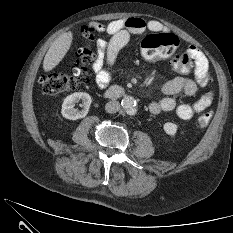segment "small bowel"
<instances>
[{"instance_id":"c3829d8e","label":"small bowel","mask_w":233,"mask_h":233,"mask_svg":"<svg viewBox=\"0 0 233 233\" xmlns=\"http://www.w3.org/2000/svg\"><path fill=\"white\" fill-rule=\"evenodd\" d=\"M89 28L105 32L110 36L108 41L104 39L97 41V54L92 65L97 86L105 89L110 82L118 53L128 44L130 38L147 30L160 31L163 26L156 20L145 21L141 18L127 17L111 21L106 25L93 23ZM186 52L193 61V77L180 76L163 84L159 96L149 104L151 113L174 111L180 119L188 120L211 106L214 99L213 91L206 92L193 104L178 103L174 98L179 93L193 96L198 90L205 88L209 82V62L204 53L195 46L188 47Z\"/></svg>"}]
</instances>
